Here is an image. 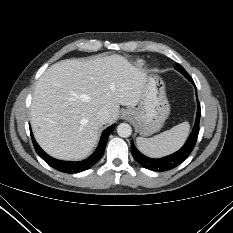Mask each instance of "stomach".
I'll list each match as a JSON object with an SVG mask.
<instances>
[{
  "label": "stomach",
  "instance_id": "0dacf381",
  "mask_svg": "<svg viewBox=\"0 0 233 233\" xmlns=\"http://www.w3.org/2000/svg\"><path fill=\"white\" fill-rule=\"evenodd\" d=\"M127 111L132 113V121L141 135L149 136L159 131L170 114L162 79L153 74L148 75L138 108Z\"/></svg>",
  "mask_w": 233,
  "mask_h": 233
}]
</instances>
